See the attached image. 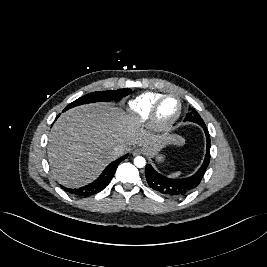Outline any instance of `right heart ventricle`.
Wrapping results in <instances>:
<instances>
[{
	"label": "right heart ventricle",
	"mask_w": 267,
	"mask_h": 267,
	"mask_svg": "<svg viewBox=\"0 0 267 267\" xmlns=\"http://www.w3.org/2000/svg\"><path fill=\"white\" fill-rule=\"evenodd\" d=\"M162 95V93L158 92L143 93L129 102V111L139 122H145L149 119L154 103Z\"/></svg>",
	"instance_id": "right-heart-ventricle-1"
}]
</instances>
